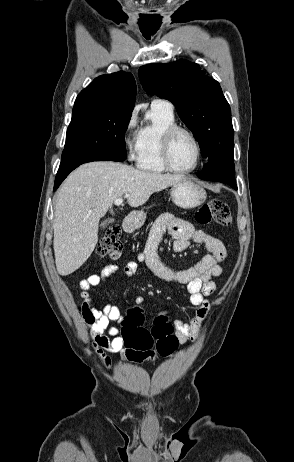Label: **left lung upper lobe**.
<instances>
[{"mask_svg":"<svg viewBox=\"0 0 294 462\" xmlns=\"http://www.w3.org/2000/svg\"><path fill=\"white\" fill-rule=\"evenodd\" d=\"M139 79L148 94L175 105L208 162L233 161L231 109L216 80L186 60L142 66Z\"/></svg>","mask_w":294,"mask_h":462,"instance_id":"left-lung-upper-lobe-1","label":"left lung upper lobe"}]
</instances>
